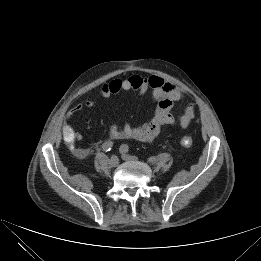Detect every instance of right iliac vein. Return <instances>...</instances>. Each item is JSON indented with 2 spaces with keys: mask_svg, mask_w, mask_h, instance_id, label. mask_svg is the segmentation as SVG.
<instances>
[{
  "mask_svg": "<svg viewBox=\"0 0 261 261\" xmlns=\"http://www.w3.org/2000/svg\"><path fill=\"white\" fill-rule=\"evenodd\" d=\"M108 164L110 167H116L119 164V158L116 155H113L110 157V159L108 160Z\"/></svg>",
  "mask_w": 261,
  "mask_h": 261,
  "instance_id": "right-iliac-vein-1",
  "label": "right iliac vein"
}]
</instances>
